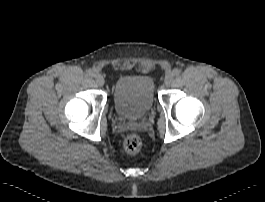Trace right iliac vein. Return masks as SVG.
<instances>
[{
  "instance_id": "right-iliac-vein-1",
  "label": "right iliac vein",
  "mask_w": 265,
  "mask_h": 202,
  "mask_svg": "<svg viewBox=\"0 0 265 202\" xmlns=\"http://www.w3.org/2000/svg\"><path fill=\"white\" fill-rule=\"evenodd\" d=\"M94 79L98 86H103L105 83L104 78L100 73H95Z\"/></svg>"
}]
</instances>
